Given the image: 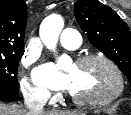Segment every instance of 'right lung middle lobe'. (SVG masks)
Returning <instances> with one entry per match:
<instances>
[{"label": "right lung middle lobe", "instance_id": "dd1d6c3e", "mask_svg": "<svg viewBox=\"0 0 131 115\" xmlns=\"http://www.w3.org/2000/svg\"><path fill=\"white\" fill-rule=\"evenodd\" d=\"M20 53L0 54V97L5 99L17 98L19 96L16 75Z\"/></svg>", "mask_w": 131, "mask_h": 115}]
</instances>
